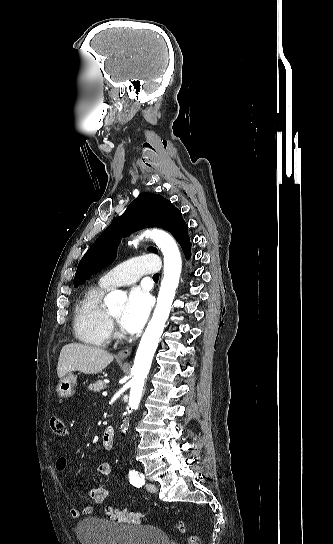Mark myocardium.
<instances>
[{"mask_svg":"<svg viewBox=\"0 0 333 544\" xmlns=\"http://www.w3.org/2000/svg\"><path fill=\"white\" fill-rule=\"evenodd\" d=\"M108 317H109L110 322H112V323L115 322L116 318L114 316H112L110 313H108ZM119 335H121V334L119 333Z\"/></svg>","mask_w":333,"mask_h":544,"instance_id":"obj_1","label":"myocardium"}]
</instances>
